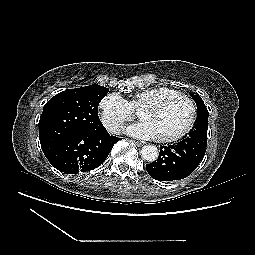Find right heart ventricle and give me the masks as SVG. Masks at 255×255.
<instances>
[{
    "label": "right heart ventricle",
    "mask_w": 255,
    "mask_h": 255,
    "mask_svg": "<svg viewBox=\"0 0 255 255\" xmlns=\"http://www.w3.org/2000/svg\"><path fill=\"white\" fill-rule=\"evenodd\" d=\"M175 91L171 88L160 86L151 87L140 91L133 99H131L129 104L134 111H138L146 104L156 100L158 97Z\"/></svg>",
    "instance_id": "right-heart-ventricle-1"
}]
</instances>
